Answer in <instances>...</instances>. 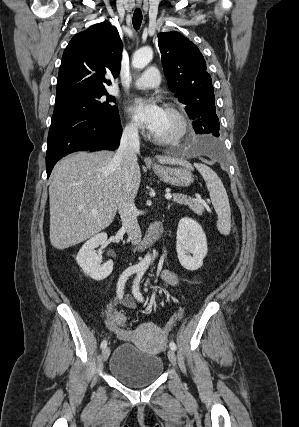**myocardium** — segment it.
<instances>
[{
    "instance_id": "myocardium-1",
    "label": "myocardium",
    "mask_w": 299,
    "mask_h": 427,
    "mask_svg": "<svg viewBox=\"0 0 299 427\" xmlns=\"http://www.w3.org/2000/svg\"><path fill=\"white\" fill-rule=\"evenodd\" d=\"M164 110L175 118L177 122V130L173 134L167 136L153 134L152 138L159 144H173L179 142L188 132L187 119L184 113L172 104H166Z\"/></svg>"
}]
</instances>
